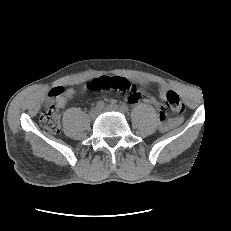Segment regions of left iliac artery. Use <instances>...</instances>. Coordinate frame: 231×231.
Listing matches in <instances>:
<instances>
[{
	"mask_svg": "<svg viewBox=\"0 0 231 231\" xmlns=\"http://www.w3.org/2000/svg\"><path fill=\"white\" fill-rule=\"evenodd\" d=\"M121 109H122L124 112H128V111H129V107H128L126 104H122V105H121Z\"/></svg>",
	"mask_w": 231,
	"mask_h": 231,
	"instance_id": "left-iliac-artery-1",
	"label": "left iliac artery"
}]
</instances>
